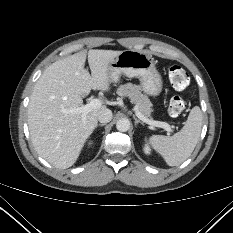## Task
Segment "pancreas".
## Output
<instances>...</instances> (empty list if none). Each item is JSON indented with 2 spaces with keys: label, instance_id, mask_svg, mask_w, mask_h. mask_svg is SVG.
I'll return each mask as SVG.
<instances>
[{
  "label": "pancreas",
  "instance_id": "1",
  "mask_svg": "<svg viewBox=\"0 0 233 233\" xmlns=\"http://www.w3.org/2000/svg\"><path fill=\"white\" fill-rule=\"evenodd\" d=\"M116 93L121 97H128L146 118L151 116L152 104L148 97L142 94L140 86L132 83L120 85Z\"/></svg>",
  "mask_w": 233,
  "mask_h": 233
}]
</instances>
